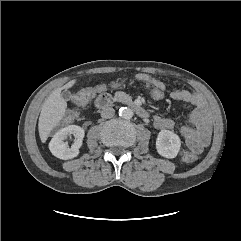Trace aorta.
Returning a JSON list of instances; mask_svg holds the SVG:
<instances>
[{
	"label": "aorta",
	"mask_w": 241,
	"mask_h": 241,
	"mask_svg": "<svg viewBox=\"0 0 241 241\" xmlns=\"http://www.w3.org/2000/svg\"><path fill=\"white\" fill-rule=\"evenodd\" d=\"M119 115L126 120H129L133 117V111L130 108L122 107L119 109Z\"/></svg>",
	"instance_id": "aorta-1"
}]
</instances>
